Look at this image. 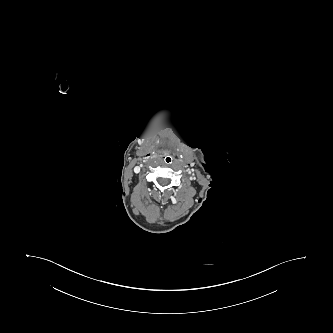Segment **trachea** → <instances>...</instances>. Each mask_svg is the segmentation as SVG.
Wrapping results in <instances>:
<instances>
[{
    "label": "trachea",
    "mask_w": 333,
    "mask_h": 333,
    "mask_svg": "<svg viewBox=\"0 0 333 333\" xmlns=\"http://www.w3.org/2000/svg\"><path fill=\"white\" fill-rule=\"evenodd\" d=\"M161 161L165 166L170 167L174 164L175 159L171 154L166 153L162 156Z\"/></svg>",
    "instance_id": "obj_1"
}]
</instances>
